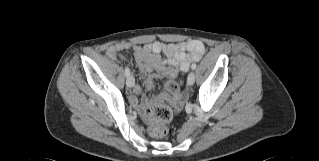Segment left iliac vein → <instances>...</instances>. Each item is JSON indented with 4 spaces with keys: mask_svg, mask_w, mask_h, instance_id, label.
Listing matches in <instances>:
<instances>
[{
    "mask_svg": "<svg viewBox=\"0 0 319 161\" xmlns=\"http://www.w3.org/2000/svg\"><path fill=\"white\" fill-rule=\"evenodd\" d=\"M194 82H195V74H194V72H190L188 74V77H187V84L189 86H192L194 84Z\"/></svg>",
    "mask_w": 319,
    "mask_h": 161,
    "instance_id": "4c4485c4",
    "label": "left iliac vein"
}]
</instances>
